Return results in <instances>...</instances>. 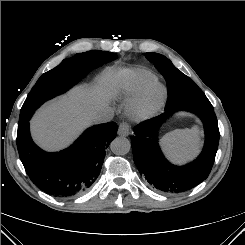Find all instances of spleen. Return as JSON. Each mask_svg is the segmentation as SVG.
<instances>
[{
  "mask_svg": "<svg viewBox=\"0 0 245 245\" xmlns=\"http://www.w3.org/2000/svg\"><path fill=\"white\" fill-rule=\"evenodd\" d=\"M161 144L172 161L183 162L196 153L199 146V131L197 127L174 130L162 138Z\"/></svg>",
  "mask_w": 245,
  "mask_h": 245,
  "instance_id": "1",
  "label": "spleen"
}]
</instances>
